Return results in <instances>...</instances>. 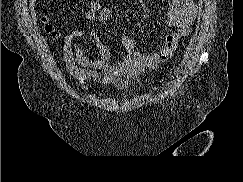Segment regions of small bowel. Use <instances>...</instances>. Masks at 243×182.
Here are the masks:
<instances>
[{"mask_svg": "<svg viewBox=\"0 0 243 182\" xmlns=\"http://www.w3.org/2000/svg\"><path fill=\"white\" fill-rule=\"evenodd\" d=\"M196 15L197 7L193 0H171L165 12V22L172 32L166 36L163 45L151 54H144L136 48L129 35H124L121 39L123 54L117 61L111 60L108 48L92 30L90 35L95 39L99 56L90 59L80 45L81 27L96 19L106 21L113 17L111 10L92 0L79 27L66 37V68L73 78L83 84H112L118 89H124L129 79H137L146 70L156 69L173 55L180 41L188 36Z\"/></svg>", "mask_w": 243, "mask_h": 182, "instance_id": "obj_1", "label": "small bowel"}]
</instances>
